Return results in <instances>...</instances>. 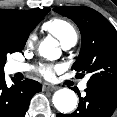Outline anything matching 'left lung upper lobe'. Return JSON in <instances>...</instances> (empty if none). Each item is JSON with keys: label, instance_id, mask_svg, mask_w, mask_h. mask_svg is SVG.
Masks as SVG:
<instances>
[{"label": "left lung upper lobe", "instance_id": "1", "mask_svg": "<svg viewBox=\"0 0 117 117\" xmlns=\"http://www.w3.org/2000/svg\"><path fill=\"white\" fill-rule=\"evenodd\" d=\"M55 12L72 19L78 26L82 45L72 68L83 77L91 73L87 85L117 86V31L99 12L85 6H63Z\"/></svg>", "mask_w": 117, "mask_h": 117}]
</instances>
